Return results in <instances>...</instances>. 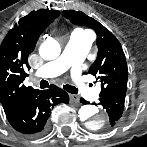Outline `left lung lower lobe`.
<instances>
[{
	"mask_svg": "<svg viewBox=\"0 0 147 147\" xmlns=\"http://www.w3.org/2000/svg\"><path fill=\"white\" fill-rule=\"evenodd\" d=\"M125 95L126 93L124 92H111L99 98V105L106 110L109 116V123L107 127H113L122 116ZM80 102L84 104L88 103L83 98H81Z\"/></svg>",
	"mask_w": 147,
	"mask_h": 147,
	"instance_id": "obj_1",
	"label": "left lung lower lobe"
}]
</instances>
